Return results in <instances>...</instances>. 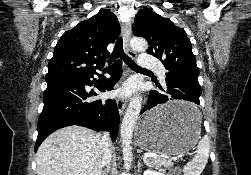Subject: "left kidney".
Segmentation results:
<instances>
[{
  "instance_id": "obj_1",
  "label": "left kidney",
  "mask_w": 251,
  "mask_h": 175,
  "mask_svg": "<svg viewBox=\"0 0 251 175\" xmlns=\"http://www.w3.org/2000/svg\"><path fill=\"white\" fill-rule=\"evenodd\" d=\"M143 175H164V173H161L160 169L159 171H155V169H146Z\"/></svg>"
}]
</instances>
